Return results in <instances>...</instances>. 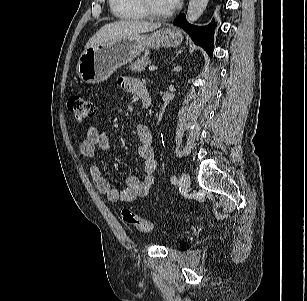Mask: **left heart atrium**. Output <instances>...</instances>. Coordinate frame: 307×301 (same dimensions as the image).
Listing matches in <instances>:
<instances>
[{"instance_id":"1","label":"left heart atrium","mask_w":307,"mask_h":301,"mask_svg":"<svg viewBox=\"0 0 307 301\" xmlns=\"http://www.w3.org/2000/svg\"><path fill=\"white\" fill-rule=\"evenodd\" d=\"M171 9L175 8V6L179 3L180 0H167Z\"/></svg>"}]
</instances>
